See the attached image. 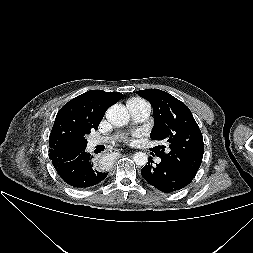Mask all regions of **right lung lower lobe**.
Masks as SVG:
<instances>
[{"mask_svg": "<svg viewBox=\"0 0 253 253\" xmlns=\"http://www.w3.org/2000/svg\"><path fill=\"white\" fill-rule=\"evenodd\" d=\"M92 158L84 150L69 158L55 157L51 160L64 182L75 188H87L100 183L108 175L97 170Z\"/></svg>", "mask_w": 253, "mask_h": 253, "instance_id": "obj_1", "label": "right lung lower lobe"}]
</instances>
